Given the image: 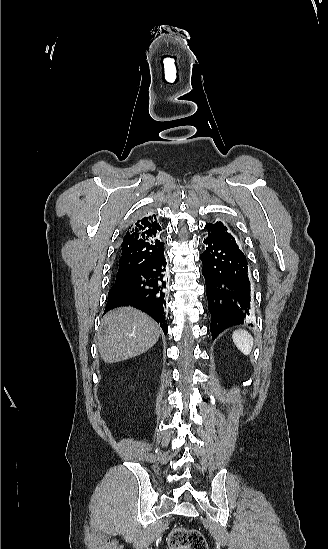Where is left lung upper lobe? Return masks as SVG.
<instances>
[{"label":"left lung upper lobe","mask_w":328,"mask_h":549,"mask_svg":"<svg viewBox=\"0 0 328 549\" xmlns=\"http://www.w3.org/2000/svg\"><path fill=\"white\" fill-rule=\"evenodd\" d=\"M205 229L208 230V236L238 247L235 237L222 222L208 223L205 225Z\"/></svg>","instance_id":"left-lung-upper-lobe-1"}]
</instances>
